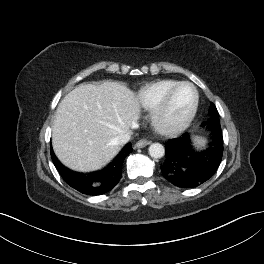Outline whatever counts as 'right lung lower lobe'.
I'll return each instance as SVG.
<instances>
[{
  "label": "right lung lower lobe",
  "mask_w": 264,
  "mask_h": 264,
  "mask_svg": "<svg viewBox=\"0 0 264 264\" xmlns=\"http://www.w3.org/2000/svg\"><path fill=\"white\" fill-rule=\"evenodd\" d=\"M132 150L131 144L128 143L107 167L89 174L68 170L58 161L53 152H51V157L60 175L72 188L87 195H101L113 189L119 182L124 159Z\"/></svg>",
  "instance_id": "obj_1"
}]
</instances>
